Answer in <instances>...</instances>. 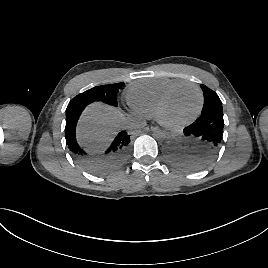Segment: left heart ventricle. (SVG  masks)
I'll return each instance as SVG.
<instances>
[{
  "label": "left heart ventricle",
  "instance_id": "obj_1",
  "mask_svg": "<svg viewBox=\"0 0 268 268\" xmlns=\"http://www.w3.org/2000/svg\"><path fill=\"white\" fill-rule=\"evenodd\" d=\"M199 104L195 88L186 86L176 91L164 107L162 117L170 123L181 122L194 114Z\"/></svg>",
  "mask_w": 268,
  "mask_h": 268
}]
</instances>
